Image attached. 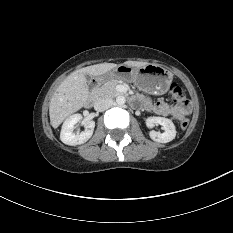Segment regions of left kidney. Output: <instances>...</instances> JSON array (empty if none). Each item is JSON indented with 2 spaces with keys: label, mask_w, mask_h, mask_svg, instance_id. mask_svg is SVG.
<instances>
[{
  "label": "left kidney",
  "mask_w": 233,
  "mask_h": 233,
  "mask_svg": "<svg viewBox=\"0 0 233 233\" xmlns=\"http://www.w3.org/2000/svg\"><path fill=\"white\" fill-rule=\"evenodd\" d=\"M156 124L161 125L164 132L150 131L149 135L152 140L159 143H168L175 138L176 128L170 119L164 117H149L146 119L147 127L151 128Z\"/></svg>",
  "instance_id": "obj_1"
}]
</instances>
